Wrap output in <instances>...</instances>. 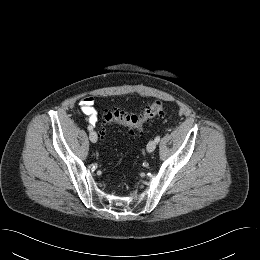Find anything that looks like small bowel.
I'll return each mask as SVG.
<instances>
[{
  "label": "small bowel",
  "mask_w": 260,
  "mask_h": 260,
  "mask_svg": "<svg viewBox=\"0 0 260 260\" xmlns=\"http://www.w3.org/2000/svg\"><path fill=\"white\" fill-rule=\"evenodd\" d=\"M79 111L85 115L92 125L97 123V111L93 97L86 96L79 101Z\"/></svg>",
  "instance_id": "c3829d8e"
}]
</instances>
